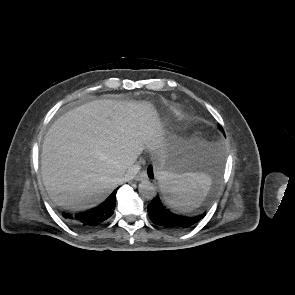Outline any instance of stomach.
<instances>
[{"instance_id": "0dacf381", "label": "stomach", "mask_w": 295, "mask_h": 295, "mask_svg": "<svg viewBox=\"0 0 295 295\" xmlns=\"http://www.w3.org/2000/svg\"><path fill=\"white\" fill-rule=\"evenodd\" d=\"M209 147L202 141L185 142L178 150L172 152L159 166V174L167 172L175 175L187 173L207 174L209 167L205 154ZM164 196H167L164 194Z\"/></svg>"}]
</instances>
